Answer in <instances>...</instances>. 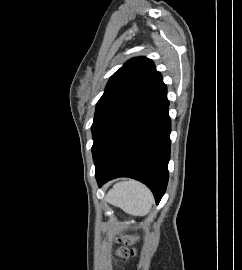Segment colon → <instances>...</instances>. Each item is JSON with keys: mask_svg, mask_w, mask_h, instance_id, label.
Instances as JSON below:
<instances>
[{"mask_svg": "<svg viewBox=\"0 0 242 270\" xmlns=\"http://www.w3.org/2000/svg\"><path fill=\"white\" fill-rule=\"evenodd\" d=\"M134 241V238H129L125 241L126 245L131 244ZM132 251L127 248V246H122L116 251V255L125 259L127 258Z\"/></svg>", "mask_w": 242, "mask_h": 270, "instance_id": "5ec220e1", "label": "colon"}]
</instances>
